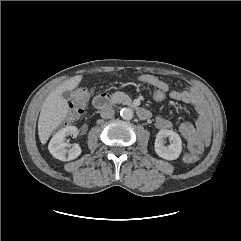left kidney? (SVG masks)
Wrapping results in <instances>:
<instances>
[{"label": "left kidney", "instance_id": "left-kidney-1", "mask_svg": "<svg viewBox=\"0 0 241 241\" xmlns=\"http://www.w3.org/2000/svg\"><path fill=\"white\" fill-rule=\"evenodd\" d=\"M165 138H169L171 142L167 147L164 145ZM154 148L159 157L166 160H175L182 151V140L176 132L162 129L156 135Z\"/></svg>", "mask_w": 241, "mask_h": 241}]
</instances>
